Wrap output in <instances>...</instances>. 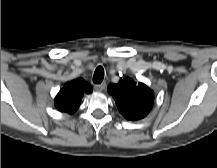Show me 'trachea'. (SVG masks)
<instances>
[{
  "label": "trachea",
  "mask_w": 217,
  "mask_h": 168,
  "mask_svg": "<svg viewBox=\"0 0 217 168\" xmlns=\"http://www.w3.org/2000/svg\"><path fill=\"white\" fill-rule=\"evenodd\" d=\"M104 78V69L102 66H98L94 72L93 82L100 84Z\"/></svg>",
  "instance_id": "obj_1"
}]
</instances>
